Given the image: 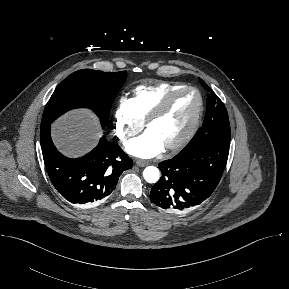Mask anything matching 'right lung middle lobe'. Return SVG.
Listing matches in <instances>:
<instances>
[{
    "instance_id": "right-lung-middle-lobe-1",
    "label": "right lung middle lobe",
    "mask_w": 289,
    "mask_h": 289,
    "mask_svg": "<svg viewBox=\"0 0 289 289\" xmlns=\"http://www.w3.org/2000/svg\"><path fill=\"white\" fill-rule=\"evenodd\" d=\"M126 77V71L106 73L84 69L72 73L58 85L46 104L41 128L74 108L92 109L105 127L111 105Z\"/></svg>"
}]
</instances>
